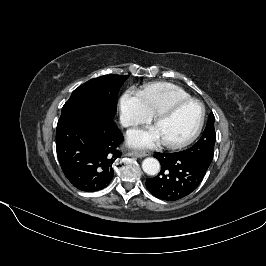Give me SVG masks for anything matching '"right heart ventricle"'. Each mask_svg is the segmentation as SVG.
<instances>
[{
  "instance_id": "right-heart-ventricle-1",
  "label": "right heart ventricle",
  "mask_w": 266,
  "mask_h": 266,
  "mask_svg": "<svg viewBox=\"0 0 266 266\" xmlns=\"http://www.w3.org/2000/svg\"><path fill=\"white\" fill-rule=\"evenodd\" d=\"M141 94L152 115L176 101L190 98L183 88L169 82L150 83L143 88Z\"/></svg>"
}]
</instances>
